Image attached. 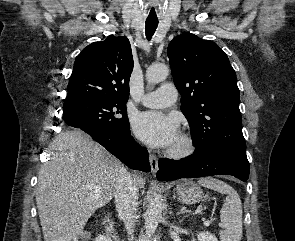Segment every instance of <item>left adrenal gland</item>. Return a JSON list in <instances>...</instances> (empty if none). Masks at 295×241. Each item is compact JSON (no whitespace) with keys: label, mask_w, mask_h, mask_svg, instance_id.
<instances>
[{"label":"left adrenal gland","mask_w":295,"mask_h":241,"mask_svg":"<svg viewBox=\"0 0 295 241\" xmlns=\"http://www.w3.org/2000/svg\"><path fill=\"white\" fill-rule=\"evenodd\" d=\"M184 213H191V211L187 210L185 206H181L180 210L177 212V215L184 214Z\"/></svg>","instance_id":"1"}]
</instances>
